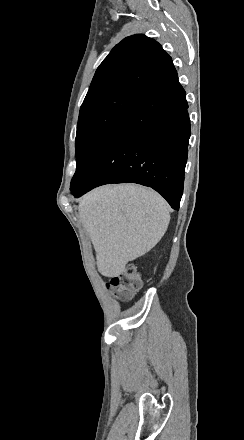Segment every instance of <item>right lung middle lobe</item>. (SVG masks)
I'll use <instances>...</instances> for the list:
<instances>
[{
	"instance_id": "right-lung-middle-lobe-1",
	"label": "right lung middle lobe",
	"mask_w": 244,
	"mask_h": 440,
	"mask_svg": "<svg viewBox=\"0 0 244 440\" xmlns=\"http://www.w3.org/2000/svg\"><path fill=\"white\" fill-rule=\"evenodd\" d=\"M139 97L121 94L105 101L82 104L76 134V172L73 185L120 120L136 105Z\"/></svg>"
}]
</instances>
